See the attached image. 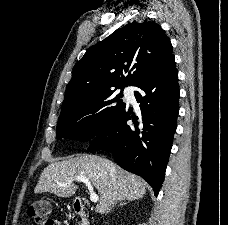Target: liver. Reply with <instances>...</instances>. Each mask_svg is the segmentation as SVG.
<instances>
[{
  "label": "liver",
  "instance_id": "6515ba94",
  "mask_svg": "<svg viewBox=\"0 0 228 225\" xmlns=\"http://www.w3.org/2000/svg\"><path fill=\"white\" fill-rule=\"evenodd\" d=\"M74 177H87L97 189L96 213L101 215L110 213L119 201H136L146 195L145 181L96 155H79L68 161L51 163L41 173L34 193L73 197L78 189V185H74Z\"/></svg>",
  "mask_w": 228,
  "mask_h": 225
}]
</instances>
